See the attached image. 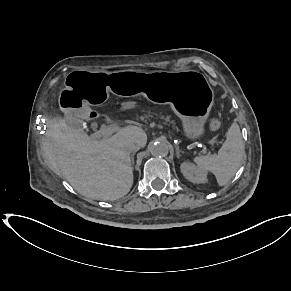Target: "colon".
Here are the masks:
<instances>
[{"label": "colon", "instance_id": "5ec220e1", "mask_svg": "<svg viewBox=\"0 0 291 291\" xmlns=\"http://www.w3.org/2000/svg\"><path fill=\"white\" fill-rule=\"evenodd\" d=\"M209 125H210V127H211L212 129H217V128H219L220 125H221V120H220L219 118H217V117H214V118H212V119L210 120Z\"/></svg>", "mask_w": 291, "mask_h": 291}]
</instances>
